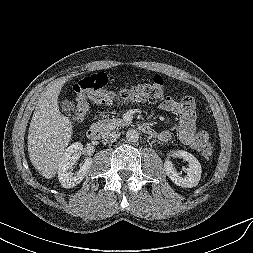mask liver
I'll list each match as a JSON object with an SVG mask.
<instances>
[{"instance_id":"1","label":"liver","mask_w":253,"mask_h":253,"mask_svg":"<svg viewBox=\"0 0 253 253\" xmlns=\"http://www.w3.org/2000/svg\"><path fill=\"white\" fill-rule=\"evenodd\" d=\"M67 79L52 83L42 93L28 131V153L32 165L45 178L51 179L71 141L73 125L61 114L58 96Z\"/></svg>"}]
</instances>
